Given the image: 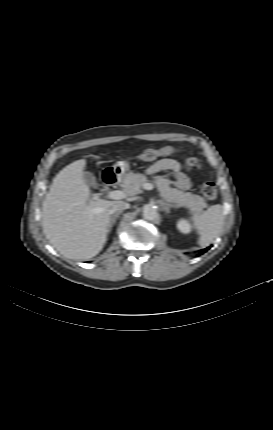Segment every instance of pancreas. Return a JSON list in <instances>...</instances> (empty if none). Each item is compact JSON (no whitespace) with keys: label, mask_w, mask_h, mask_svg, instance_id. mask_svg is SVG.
Instances as JSON below:
<instances>
[{"label":"pancreas","mask_w":273,"mask_h":430,"mask_svg":"<svg viewBox=\"0 0 273 430\" xmlns=\"http://www.w3.org/2000/svg\"><path fill=\"white\" fill-rule=\"evenodd\" d=\"M147 181V177L140 173H128L123 179V190L132 194H137L142 184ZM171 181L162 176H157L154 179V184L157 186L161 196L168 202L175 203L185 207L192 212H201L207 207L205 199L191 192H183L176 188L170 187Z\"/></svg>","instance_id":"pancreas-1"}]
</instances>
